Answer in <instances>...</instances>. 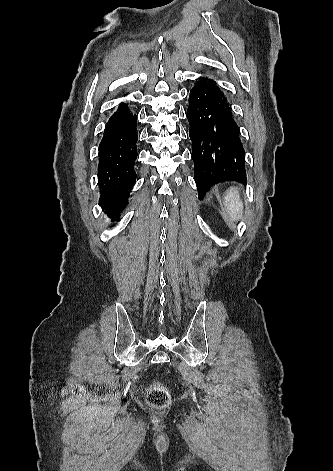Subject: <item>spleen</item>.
Returning a JSON list of instances; mask_svg holds the SVG:
<instances>
[{
    "label": "spleen",
    "instance_id": "1",
    "mask_svg": "<svg viewBox=\"0 0 333 471\" xmlns=\"http://www.w3.org/2000/svg\"><path fill=\"white\" fill-rule=\"evenodd\" d=\"M224 206L231 221H238L242 217L243 203L238 190L234 187L229 190L223 199Z\"/></svg>",
    "mask_w": 333,
    "mask_h": 471
}]
</instances>
